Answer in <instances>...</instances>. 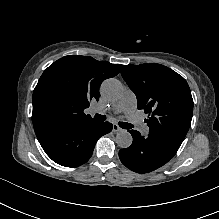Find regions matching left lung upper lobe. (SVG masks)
<instances>
[{"instance_id": "obj_1", "label": "left lung upper lobe", "mask_w": 219, "mask_h": 219, "mask_svg": "<svg viewBox=\"0 0 219 219\" xmlns=\"http://www.w3.org/2000/svg\"><path fill=\"white\" fill-rule=\"evenodd\" d=\"M121 74L149 115V136L178 151L191 125L193 99L186 80L161 64L124 65Z\"/></svg>"}]
</instances>
